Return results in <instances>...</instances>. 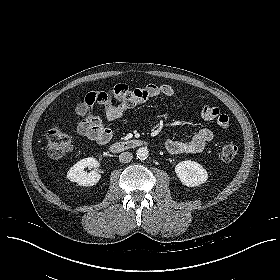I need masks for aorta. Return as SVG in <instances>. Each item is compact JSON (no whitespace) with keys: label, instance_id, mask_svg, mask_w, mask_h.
I'll list each match as a JSON object with an SVG mask.
<instances>
[{"label":"aorta","instance_id":"obj_1","mask_svg":"<svg viewBox=\"0 0 280 280\" xmlns=\"http://www.w3.org/2000/svg\"><path fill=\"white\" fill-rule=\"evenodd\" d=\"M136 155L137 158L140 160H145L148 158L149 156V151L146 147H140L137 151H136Z\"/></svg>","mask_w":280,"mask_h":280}]
</instances>
